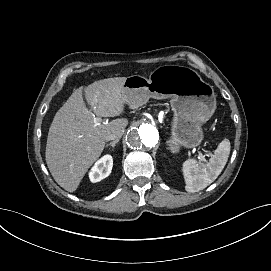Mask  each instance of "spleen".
Segmentation results:
<instances>
[{
  "label": "spleen",
  "mask_w": 271,
  "mask_h": 271,
  "mask_svg": "<svg viewBox=\"0 0 271 271\" xmlns=\"http://www.w3.org/2000/svg\"><path fill=\"white\" fill-rule=\"evenodd\" d=\"M230 141L224 139L211 156L209 162L198 164L195 159H188L183 163V174L186 181V191L196 192V189L207 187L222 172L230 154Z\"/></svg>",
  "instance_id": "spleen-1"
}]
</instances>
